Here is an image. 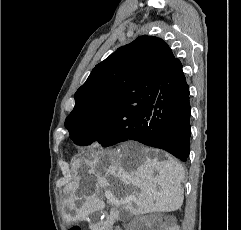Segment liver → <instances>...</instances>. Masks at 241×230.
Returning <instances> with one entry per match:
<instances>
[{"label":"liver","instance_id":"obj_1","mask_svg":"<svg viewBox=\"0 0 241 230\" xmlns=\"http://www.w3.org/2000/svg\"><path fill=\"white\" fill-rule=\"evenodd\" d=\"M150 152V149L137 143L127 142L115 150L92 153L91 159L84 161L86 170L80 171V176L66 187L65 191L70 193V197L64 201V206H68L70 211H75L74 216L64 212L66 222L84 220L102 208L99 191L106 187L114 190L107 181L109 177L119 179L125 186L132 185L140 189L136 207H133L130 199L120 201L122 208L133 215L180 209L184 198L181 186L185 177L183 166L167 153L159 159L158 151H155L153 158L149 156ZM102 173L104 175H101ZM88 176L95 179V190L87 192L85 202L77 207L75 192L84 188ZM109 192L111 191L105 193ZM123 197L118 196L119 199ZM111 224L112 222H100L90 225V229L108 230Z\"/></svg>","mask_w":241,"mask_h":230}]
</instances>
